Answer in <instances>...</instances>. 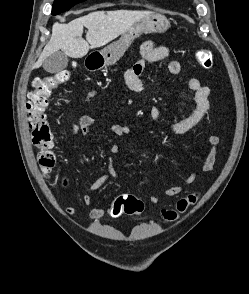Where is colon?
<instances>
[{
    "label": "colon",
    "mask_w": 249,
    "mask_h": 294,
    "mask_svg": "<svg viewBox=\"0 0 249 294\" xmlns=\"http://www.w3.org/2000/svg\"><path fill=\"white\" fill-rule=\"evenodd\" d=\"M196 59L205 69H212L214 61L212 55L206 50H196ZM68 70L59 71L52 75L38 77L33 82V89L28 95V114L32 133V143L38 150V163L40 169L49 173L53 170L56 157L53 152L54 133L46 113L49 98L61 84L70 79ZM198 199L197 194H190L181 198L174 209L164 210L162 215L165 220L173 222L194 205ZM145 205L142 200L133 195L118 196L112 203L109 212L113 217L122 215L138 216L144 212Z\"/></svg>",
    "instance_id": "5ec220e1"
}]
</instances>
